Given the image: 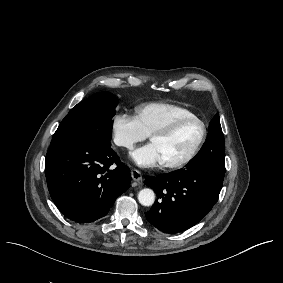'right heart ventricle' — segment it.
I'll return each mask as SVG.
<instances>
[{"label": "right heart ventricle", "instance_id": "1", "mask_svg": "<svg viewBox=\"0 0 283 283\" xmlns=\"http://www.w3.org/2000/svg\"><path fill=\"white\" fill-rule=\"evenodd\" d=\"M137 114L148 135L163 130L180 116L193 114L190 110L177 104L153 102L139 106Z\"/></svg>", "mask_w": 283, "mask_h": 283}]
</instances>
